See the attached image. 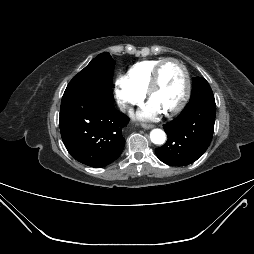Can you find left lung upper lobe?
Returning a JSON list of instances; mask_svg holds the SVG:
<instances>
[{
  "instance_id": "left-lung-upper-lobe-1",
  "label": "left lung upper lobe",
  "mask_w": 254,
  "mask_h": 254,
  "mask_svg": "<svg viewBox=\"0 0 254 254\" xmlns=\"http://www.w3.org/2000/svg\"><path fill=\"white\" fill-rule=\"evenodd\" d=\"M192 103H215L214 95L208 82L201 77L193 78L192 93L190 101Z\"/></svg>"
}]
</instances>
